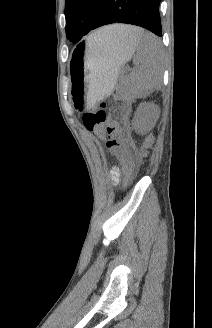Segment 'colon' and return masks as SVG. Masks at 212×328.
I'll return each instance as SVG.
<instances>
[{
	"instance_id": "colon-1",
	"label": "colon",
	"mask_w": 212,
	"mask_h": 328,
	"mask_svg": "<svg viewBox=\"0 0 212 328\" xmlns=\"http://www.w3.org/2000/svg\"><path fill=\"white\" fill-rule=\"evenodd\" d=\"M83 122L88 131L95 133L113 154L124 160L123 185L127 187L135 175L137 162L124 147L125 135L119 124L108 118L103 104L98 109L85 113Z\"/></svg>"
}]
</instances>
